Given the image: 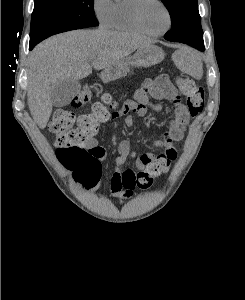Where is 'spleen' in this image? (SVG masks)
<instances>
[{"label": "spleen", "instance_id": "1", "mask_svg": "<svg viewBox=\"0 0 245 300\" xmlns=\"http://www.w3.org/2000/svg\"><path fill=\"white\" fill-rule=\"evenodd\" d=\"M180 68L184 73L195 79H201L203 75L202 61L200 56L194 51L188 50L184 52V59Z\"/></svg>", "mask_w": 245, "mask_h": 300}]
</instances>
